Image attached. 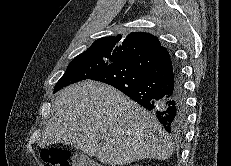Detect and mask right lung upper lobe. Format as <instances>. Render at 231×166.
<instances>
[{"mask_svg":"<svg viewBox=\"0 0 231 166\" xmlns=\"http://www.w3.org/2000/svg\"><path fill=\"white\" fill-rule=\"evenodd\" d=\"M160 47H162L160 41L152 34L133 32L125 39H122L121 35L100 38L88 50L116 56L123 60L151 52Z\"/></svg>","mask_w":231,"mask_h":166,"instance_id":"cb5924a9","label":"right lung upper lobe"}]
</instances>
